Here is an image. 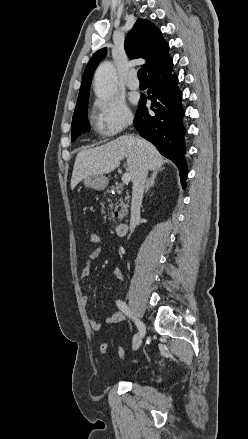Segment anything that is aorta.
<instances>
[{
  "mask_svg": "<svg viewBox=\"0 0 248 439\" xmlns=\"http://www.w3.org/2000/svg\"><path fill=\"white\" fill-rule=\"evenodd\" d=\"M117 74L112 63H102L95 72L94 91L103 100L111 99L116 91Z\"/></svg>",
  "mask_w": 248,
  "mask_h": 439,
  "instance_id": "762f6f07",
  "label": "aorta"
}]
</instances>
